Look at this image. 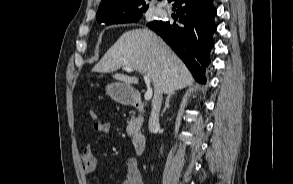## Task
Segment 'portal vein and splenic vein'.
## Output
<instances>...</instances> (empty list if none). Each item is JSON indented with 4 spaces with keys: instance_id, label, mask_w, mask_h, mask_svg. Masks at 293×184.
<instances>
[{
    "instance_id": "portal-vein-and-splenic-vein-1",
    "label": "portal vein and splenic vein",
    "mask_w": 293,
    "mask_h": 184,
    "mask_svg": "<svg viewBox=\"0 0 293 184\" xmlns=\"http://www.w3.org/2000/svg\"><path fill=\"white\" fill-rule=\"evenodd\" d=\"M123 69L125 71H127V72H132L133 71V68L127 67V66L123 67ZM144 80H145V83L147 85V91H146V93L144 95V98H145L146 101H148V100H150L152 98L153 89L151 88V85H150L151 80L147 75H144Z\"/></svg>"
}]
</instances>
